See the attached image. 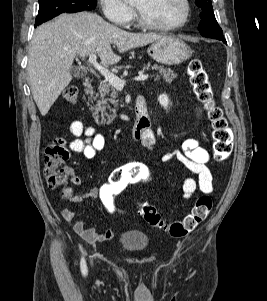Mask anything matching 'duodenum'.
Returning a JSON list of instances; mask_svg holds the SVG:
<instances>
[{
	"instance_id": "410a0bca",
	"label": "duodenum",
	"mask_w": 267,
	"mask_h": 301,
	"mask_svg": "<svg viewBox=\"0 0 267 301\" xmlns=\"http://www.w3.org/2000/svg\"><path fill=\"white\" fill-rule=\"evenodd\" d=\"M83 87L86 93L91 94L93 92V84L90 80L86 79L83 83ZM135 125L131 130L130 138L133 140H139L140 135L150 129L151 118L147 111L146 99L144 96L139 95L135 101Z\"/></svg>"
}]
</instances>
